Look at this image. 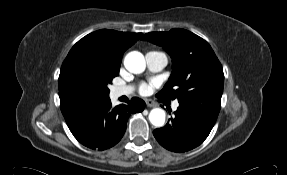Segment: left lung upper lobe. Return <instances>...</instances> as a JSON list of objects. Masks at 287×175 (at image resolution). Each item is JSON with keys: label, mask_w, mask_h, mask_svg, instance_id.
I'll use <instances>...</instances> for the list:
<instances>
[{"label": "left lung upper lobe", "mask_w": 287, "mask_h": 175, "mask_svg": "<svg viewBox=\"0 0 287 175\" xmlns=\"http://www.w3.org/2000/svg\"><path fill=\"white\" fill-rule=\"evenodd\" d=\"M141 39L162 46L172 58L173 72L159 95L178 98L179 106L214 125L221 107L224 74L209 43L179 28L147 33Z\"/></svg>", "instance_id": "obj_1"}]
</instances>
